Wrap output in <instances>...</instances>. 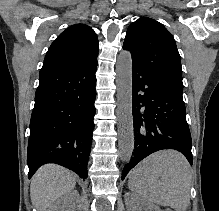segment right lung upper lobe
Segmentation results:
<instances>
[{
	"label": "right lung upper lobe",
	"instance_id": "cb5924a9",
	"mask_svg": "<svg viewBox=\"0 0 219 211\" xmlns=\"http://www.w3.org/2000/svg\"><path fill=\"white\" fill-rule=\"evenodd\" d=\"M99 42L93 29L75 24L62 32L50 46L42 68L91 66L97 62Z\"/></svg>",
	"mask_w": 219,
	"mask_h": 211
}]
</instances>
